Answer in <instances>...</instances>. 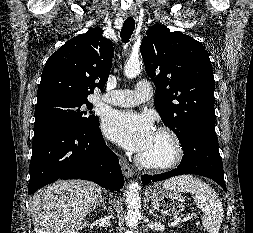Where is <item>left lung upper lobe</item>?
Masks as SVG:
<instances>
[{"label": "left lung upper lobe", "instance_id": "left-lung-upper-lobe-1", "mask_svg": "<svg viewBox=\"0 0 253 233\" xmlns=\"http://www.w3.org/2000/svg\"><path fill=\"white\" fill-rule=\"evenodd\" d=\"M140 51L162 121L183 141L198 125L215 127L214 76L203 45L161 24L146 31Z\"/></svg>", "mask_w": 253, "mask_h": 233}]
</instances>
